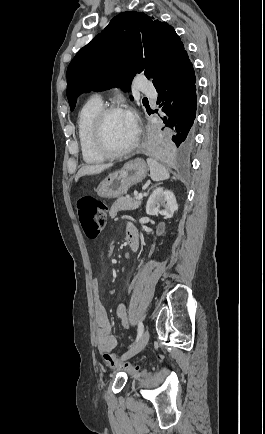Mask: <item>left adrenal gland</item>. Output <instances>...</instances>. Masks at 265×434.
I'll use <instances>...</instances> for the list:
<instances>
[{
	"label": "left adrenal gland",
	"mask_w": 265,
	"mask_h": 434,
	"mask_svg": "<svg viewBox=\"0 0 265 434\" xmlns=\"http://www.w3.org/2000/svg\"><path fill=\"white\" fill-rule=\"evenodd\" d=\"M152 188H156V186H151V188H149V190H152ZM149 190H148V192H149ZM148 192H147V194H148Z\"/></svg>",
	"instance_id": "left-adrenal-gland-1"
}]
</instances>
